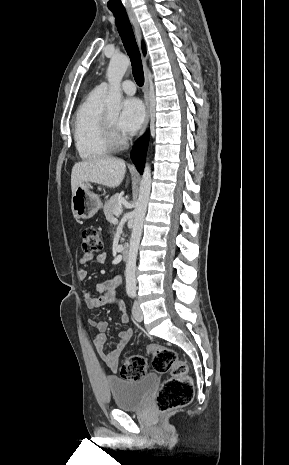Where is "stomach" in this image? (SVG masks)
I'll use <instances>...</instances> for the list:
<instances>
[{
  "mask_svg": "<svg viewBox=\"0 0 289 465\" xmlns=\"http://www.w3.org/2000/svg\"><path fill=\"white\" fill-rule=\"evenodd\" d=\"M101 206L102 202L99 196L91 191V186L88 183L80 184L72 194L71 208L78 218H92Z\"/></svg>",
  "mask_w": 289,
  "mask_h": 465,
  "instance_id": "stomach-1",
  "label": "stomach"
}]
</instances>
